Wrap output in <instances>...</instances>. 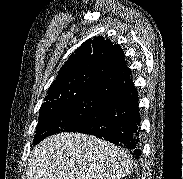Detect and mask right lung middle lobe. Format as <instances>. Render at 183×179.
Listing matches in <instances>:
<instances>
[{
    "label": "right lung middle lobe",
    "mask_w": 183,
    "mask_h": 179,
    "mask_svg": "<svg viewBox=\"0 0 183 179\" xmlns=\"http://www.w3.org/2000/svg\"><path fill=\"white\" fill-rule=\"evenodd\" d=\"M104 95L94 94L41 106L33 143L61 132H77L93 118Z\"/></svg>",
    "instance_id": "obj_1"
}]
</instances>
